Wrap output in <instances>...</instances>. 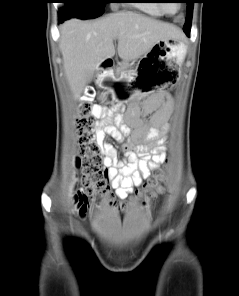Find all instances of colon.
<instances>
[{
  "mask_svg": "<svg viewBox=\"0 0 239 296\" xmlns=\"http://www.w3.org/2000/svg\"><path fill=\"white\" fill-rule=\"evenodd\" d=\"M93 90L86 89L83 102L77 108L76 129L81 155L77 166L81 169L83 187L75 196L76 205L81 214L87 210L90 201L106 198L107 204L115 210L125 211L130 204L117 203L105 179V171L101 164L100 145L96 133L95 106L91 103ZM164 173L159 171L155 177L144 185L143 197L151 198L156 192L162 191Z\"/></svg>",
  "mask_w": 239,
  "mask_h": 296,
  "instance_id": "obj_1",
  "label": "colon"
}]
</instances>
